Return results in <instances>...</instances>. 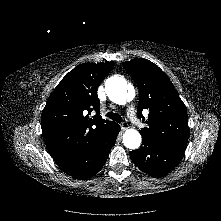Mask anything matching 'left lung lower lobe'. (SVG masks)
Returning <instances> with one entry per match:
<instances>
[{
	"label": "left lung lower lobe",
	"instance_id": "obj_1",
	"mask_svg": "<svg viewBox=\"0 0 221 221\" xmlns=\"http://www.w3.org/2000/svg\"><path fill=\"white\" fill-rule=\"evenodd\" d=\"M139 149L130 152L131 160L153 177H161L169 173L181 160L184 150L166 146L148 137L142 136Z\"/></svg>",
	"mask_w": 221,
	"mask_h": 221
}]
</instances>
